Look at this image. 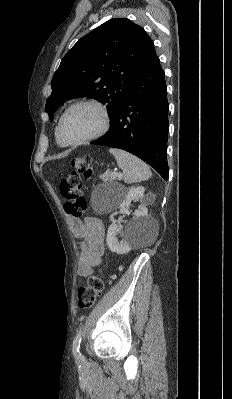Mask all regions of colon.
Here are the masks:
<instances>
[{
	"label": "colon",
	"instance_id": "obj_1",
	"mask_svg": "<svg viewBox=\"0 0 232 399\" xmlns=\"http://www.w3.org/2000/svg\"><path fill=\"white\" fill-rule=\"evenodd\" d=\"M73 174L66 175L62 180L60 191H65V194L70 196H83L82 191V174L83 172H91V156L74 157ZM73 203H64L65 212H68L69 218H84L87 212L88 203L87 198H73ZM92 274H98V269H92ZM107 287V274L100 276H89L86 284L78 290L81 296L78 300L81 301V310H86V303H90V310H95V305H98V300H101V290Z\"/></svg>",
	"mask_w": 232,
	"mask_h": 399
}]
</instances>
